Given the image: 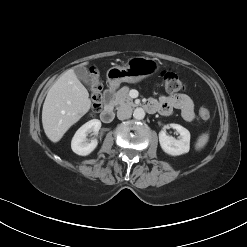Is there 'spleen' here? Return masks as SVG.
Wrapping results in <instances>:
<instances>
[{"label":"spleen","instance_id":"spleen-1","mask_svg":"<svg viewBox=\"0 0 247 247\" xmlns=\"http://www.w3.org/2000/svg\"><path fill=\"white\" fill-rule=\"evenodd\" d=\"M208 140H209V134L208 133L201 134L198 137L197 142L195 144L196 150L203 149L206 146V144L208 143Z\"/></svg>","mask_w":247,"mask_h":247}]
</instances>
